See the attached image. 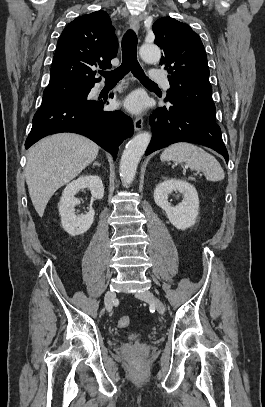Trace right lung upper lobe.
<instances>
[{
    "label": "right lung upper lobe",
    "instance_id": "obj_1",
    "mask_svg": "<svg viewBox=\"0 0 265 407\" xmlns=\"http://www.w3.org/2000/svg\"><path fill=\"white\" fill-rule=\"evenodd\" d=\"M118 40L107 12L96 11L70 22L63 30L51 66L50 83L91 84L92 68L110 69L116 57Z\"/></svg>",
    "mask_w": 265,
    "mask_h": 407
}]
</instances>
